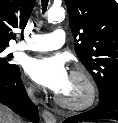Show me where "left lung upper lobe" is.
<instances>
[{
  "label": "left lung upper lobe",
  "mask_w": 118,
  "mask_h": 123,
  "mask_svg": "<svg viewBox=\"0 0 118 123\" xmlns=\"http://www.w3.org/2000/svg\"><path fill=\"white\" fill-rule=\"evenodd\" d=\"M75 51L91 72L100 99L118 86V4L115 0H65Z\"/></svg>",
  "instance_id": "obj_1"
}]
</instances>
